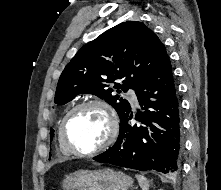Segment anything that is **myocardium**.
<instances>
[{
	"instance_id": "f54148a6",
	"label": "myocardium",
	"mask_w": 221,
	"mask_h": 190,
	"mask_svg": "<svg viewBox=\"0 0 221 190\" xmlns=\"http://www.w3.org/2000/svg\"><path fill=\"white\" fill-rule=\"evenodd\" d=\"M87 106H99L105 110V112L108 115L109 118V131L108 135L103 143L98 145L97 147L90 149V150H81L76 148L68 139L67 136V125L71 118V116L79 109ZM119 133V118L118 115L114 109V107L106 100L100 99V98H93L84 100L82 102H79L78 104L74 105L72 108H70L64 117L61 120L60 126H59V135L60 140L63 143V145L66 147V149L74 155L77 156H92L97 153H100L107 148H109L116 140Z\"/></svg>"
}]
</instances>
